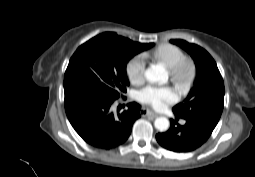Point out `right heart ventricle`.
<instances>
[{
	"label": "right heart ventricle",
	"mask_w": 255,
	"mask_h": 177,
	"mask_svg": "<svg viewBox=\"0 0 255 177\" xmlns=\"http://www.w3.org/2000/svg\"><path fill=\"white\" fill-rule=\"evenodd\" d=\"M151 55L154 59L163 63L167 68L173 67L186 58L183 50L173 44L160 45L151 52Z\"/></svg>",
	"instance_id": "right-heart-ventricle-1"
}]
</instances>
